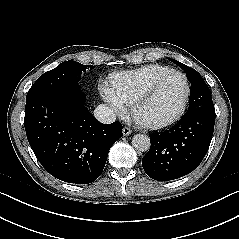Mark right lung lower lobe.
Masks as SVG:
<instances>
[{
  "label": "right lung lower lobe",
  "mask_w": 239,
  "mask_h": 239,
  "mask_svg": "<svg viewBox=\"0 0 239 239\" xmlns=\"http://www.w3.org/2000/svg\"><path fill=\"white\" fill-rule=\"evenodd\" d=\"M76 88L26 98L24 126L38 161L55 178L89 184L102 173L112 145L122 137L118 122L102 124Z\"/></svg>",
  "instance_id": "obj_1"
}]
</instances>
